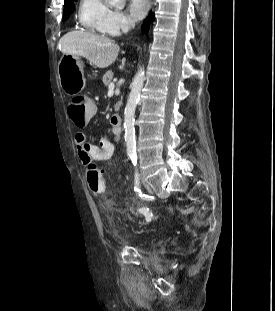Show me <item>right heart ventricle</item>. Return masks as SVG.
Wrapping results in <instances>:
<instances>
[{
    "mask_svg": "<svg viewBox=\"0 0 275 311\" xmlns=\"http://www.w3.org/2000/svg\"><path fill=\"white\" fill-rule=\"evenodd\" d=\"M111 11L106 0H80L77 10L79 25L86 31L105 35V22Z\"/></svg>",
    "mask_w": 275,
    "mask_h": 311,
    "instance_id": "e07e8e85",
    "label": "right heart ventricle"
}]
</instances>
